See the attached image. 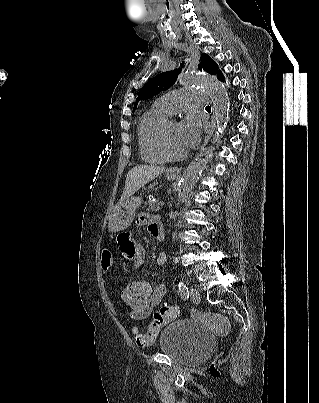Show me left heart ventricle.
<instances>
[{
    "mask_svg": "<svg viewBox=\"0 0 319 403\" xmlns=\"http://www.w3.org/2000/svg\"><path fill=\"white\" fill-rule=\"evenodd\" d=\"M167 142L172 152L181 153L185 151L179 139V124L174 120L168 124Z\"/></svg>",
    "mask_w": 319,
    "mask_h": 403,
    "instance_id": "1",
    "label": "left heart ventricle"
}]
</instances>
